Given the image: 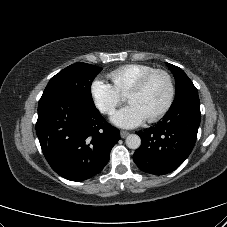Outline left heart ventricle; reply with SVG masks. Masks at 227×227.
<instances>
[{
  "label": "left heart ventricle",
  "instance_id": "b2bd125f",
  "mask_svg": "<svg viewBox=\"0 0 227 227\" xmlns=\"http://www.w3.org/2000/svg\"><path fill=\"white\" fill-rule=\"evenodd\" d=\"M169 86L164 75H154L145 87L127 97V101L136 105L144 116L149 118L157 113L166 103Z\"/></svg>",
  "mask_w": 227,
  "mask_h": 227
}]
</instances>
